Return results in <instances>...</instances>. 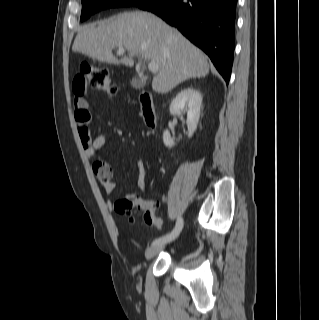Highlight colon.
<instances>
[{
    "mask_svg": "<svg viewBox=\"0 0 319 320\" xmlns=\"http://www.w3.org/2000/svg\"><path fill=\"white\" fill-rule=\"evenodd\" d=\"M86 84L92 89L104 91L110 95H114L117 90L113 83L111 72L106 68L98 67L90 62H83L80 65L79 74L74 79V87L78 89L85 87ZM84 130L89 132L87 123L84 124ZM102 167L107 171L111 170L109 164L106 162L104 164L96 163L94 165L95 170ZM138 206V200L129 198L118 199L114 204L116 212L127 215L131 213L133 207L138 208ZM144 220L148 224L155 225L157 228H162L161 220L150 211L144 212Z\"/></svg>",
    "mask_w": 319,
    "mask_h": 320,
    "instance_id": "5ec220e1",
    "label": "colon"
}]
</instances>
